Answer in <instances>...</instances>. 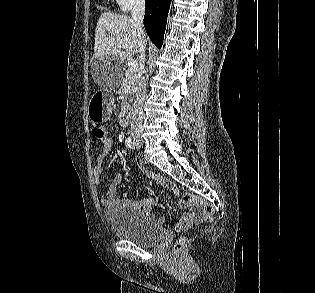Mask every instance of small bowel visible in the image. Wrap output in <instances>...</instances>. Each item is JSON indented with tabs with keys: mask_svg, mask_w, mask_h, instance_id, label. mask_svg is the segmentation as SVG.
Instances as JSON below:
<instances>
[{
	"mask_svg": "<svg viewBox=\"0 0 315 293\" xmlns=\"http://www.w3.org/2000/svg\"><path fill=\"white\" fill-rule=\"evenodd\" d=\"M113 146V140L107 136L105 139L102 140V151L97 156L96 163L93 167V181L96 187H100L102 184V163L104 158L108 155L111 148ZM136 164L138 168L142 171H145V166L143 165L140 159H136ZM122 174H117L112 182L109 184L105 197L101 200V204L104 207H110L113 204L118 203L120 200L117 198V189L122 182ZM157 183L162 185L163 187L167 188L168 190L172 191L176 196H179L180 192L179 189L171 183L168 179L161 175H157L155 177ZM122 202L129 203L132 206L144 211L148 212L150 208L155 206V201L152 197L146 196L139 200L132 201L129 198L125 197ZM180 209H189L179 221V227L182 230H186L192 224L196 223L199 220L198 210L191 209V204L185 203L184 201L179 202Z\"/></svg>",
	"mask_w": 315,
	"mask_h": 293,
	"instance_id": "c3829d8e",
	"label": "small bowel"
}]
</instances>
